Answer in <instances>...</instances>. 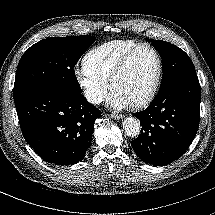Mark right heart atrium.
Returning <instances> with one entry per match:
<instances>
[{"label":"right heart atrium","mask_w":215,"mask_h":215,"mask_svg":"<svg viewBox=\"0 0 215 215\" xmlns=\"http://www.w3.org/2000/svg\"><path fill=\"white\" fill-rule=\"evenodd\" d=\"M74 79L82 96L89 104L98 106L107 99L108 83L87 74L84 69L76 70Z\"/></svg>","instance_id":"d8ad5b80"}]
</instances>
